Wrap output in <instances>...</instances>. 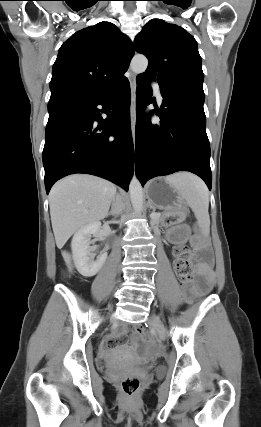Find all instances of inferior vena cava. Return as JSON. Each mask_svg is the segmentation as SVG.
Wrapping results in <instances>:
<instances>
[{
	"mask_svg": "<svg viewBox=\"0 0 261 427\" xmlns=\"http://www.w3.org/2000/svg\"><path fill=\"white\" fill-rule=\"evenodd\" d=\"M123 209V202L119 195L116 196V198L113 199L112 203V212L114 214H119L122 212Z\"/></svg>",
	"mask_w": 261,
	"mask_h": 427,
	"instance_id": "obj_1",
	"label": "inferior vena cava"
}]
</instances>
